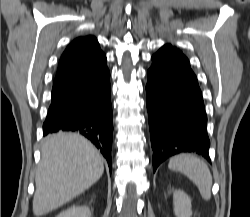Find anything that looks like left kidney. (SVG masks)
Returning <instances> with one entry per match:
<instances>
[{
  "mask_svg": "<svg viewBox=\"0 0 250 217\" xmlns=\"http://www.w3.org/2000/svg\"><path fill=\"white\" fill-rule=\"evenodd\" d=\"M173 205L176 217H191L192 215L191 199L182 190H176L174 192Z\"/></svg>",
  "mask_w": 250,
  "mask_h": 217,
  "instance_id": "obj_1",
  "label": "left kidney"
}]
</instances>
